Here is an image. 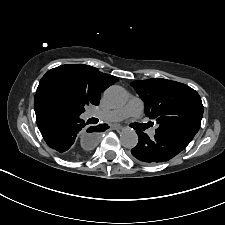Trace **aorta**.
<instances>
[{"label": "aorta", "instance_id": "762f6f07", "mask_svg": "<svg viewBox=\"0 0 225 225\" xmlns=\"http://www.w3.org/2000/svg\"><path fill=\"white\" fill-rule=\"evenodd\" d=\"M104 97L106 102L111 107H121L127 103L128 95L124 88L121 86H111L105 93ZM120 141L123 147L133 148L138 143V136L133 129H123L120 133Z\"/></svg>", "mask_w": 225, "mask_h": 225}]
</instances>
